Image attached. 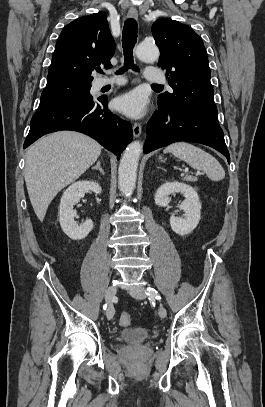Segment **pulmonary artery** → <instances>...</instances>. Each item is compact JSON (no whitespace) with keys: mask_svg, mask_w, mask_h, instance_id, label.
I'll return each instance as SVG.
<instances>
[{"mask_svg":"<svg viewBox=\"0 0 265 407\" xmlns=\"http://www.w3.org/2000/svg\"><path fill=\"white\" fill-rule=\"evenodd\" d=\"M145 77L148 81L155 84H163L166 82V77L164 73L160 69L152 66L146 68ZM122 83H123L122 79H115L112 81V84L114 85H120ZM107 84H109L108 81L101 79L97 82V87L101 88L103 86H106Z\"/></svg>","mask_w":265,"mask_h":407,"instance_id":"pulmonary-artery-1","label":"pulmonary artery"}]
</instances>
